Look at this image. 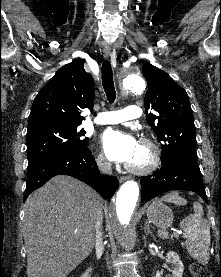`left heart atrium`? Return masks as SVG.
<instances>
[{
    "label": "left heart atrium",
    "instance_id": "obj_1",
    "mask_svg": "<svg viewBox=\"0 0 221 277\" xmlns=\"http://www.w3.org/2000/svg\"><path fill=\"white\" fill-rule=\"evenodd\" d=\"M107 157L116 162L129 163L135 156L139 144L130 134L107 130L102 137Z\"/></svg>",
    "mask_w": 221,
    "mask_h": 277
}]
</instances>
